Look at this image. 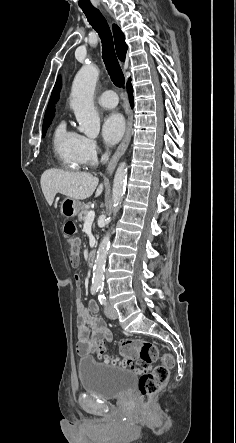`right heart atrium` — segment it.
<instances>
[{
  "label": "right heart atrium",
  "instance_id": "obj_1",
  "mask_svg": "<svg viewBox=\"0 0 236 443\" xmlns=\"http://www.w3.org/2000/svg\"><path fill=\"white\" fill-rule=\"evenodd\" d=\"M99 146L95 139L81 136L79 154L85 165L92 166L97 160Z\"/></svg>",
  "mask_w": 236,
  "mask_h": 443
}]
</instances>
